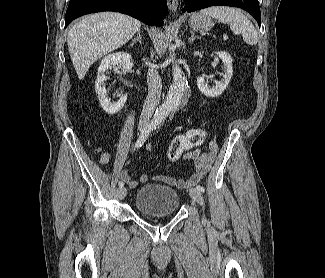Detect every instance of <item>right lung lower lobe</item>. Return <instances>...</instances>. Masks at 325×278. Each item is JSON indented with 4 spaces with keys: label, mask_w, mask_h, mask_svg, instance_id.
Here are the masks:
<instances>
[{
    "label": "right lung lower lobe",
    "mask_w": 325,
    "mask_h": 278,
    "mask_svg": "<svg viewBox=\"0 0 325 278\" xmlns=\"http://www.w3.org/2000/svg\"><path fill=\"white\" fill-rule=\"evenodd\" d=\"M100 11L121 12L145 24L161 26L168 8L166 0H70L65 28L79 16Z\"/></svg>",
    "instance_id": "right-lung-lower-lobe-1"
}]
</instances>
